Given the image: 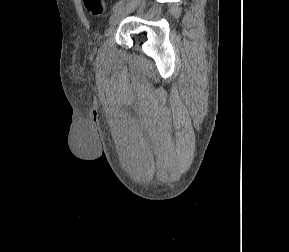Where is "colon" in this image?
<instances>
[{"instance_id":"colon-1","label":"colon","mask_w":289,"mask_h":252,"mask_svg":"<svg viewBox=\"0 0 289 252\" xmlns=\"http://www.w3.org/2000/svg\"><path fill=\"white\" fill-rule=\"evenodd\" d=\"M87 12L92 16H100L105 11L104 0H83Z\"/></svg>"}]
</instances>
